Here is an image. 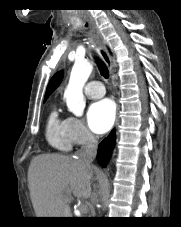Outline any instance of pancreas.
<instances>
[{"label":"pancreas","instance_id":"cf45deb5","mask_svg":"<svg viewBox=\"0 0 181 227\" xmlns=\"http://www.w3.org/2000/svg\"><path fill=\"white\" fill-rule=\"evenodd\" d=\"M85 212H86V214H87V213L89 212V209H87ZM83 217H86V215H84Z\"/></svg>","mask_w":181,"mask_h":227}]
</instances>
